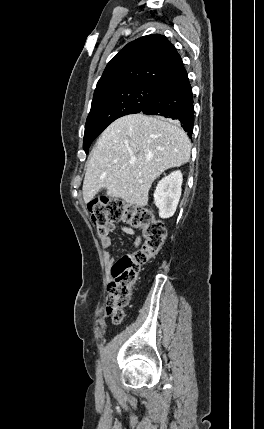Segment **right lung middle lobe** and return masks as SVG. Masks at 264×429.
I'll list each match as a JSON object with an SVG mask.
<instances>
[{"label":"right lung middle lobe","mask_w":264,"mask_h":429,"mask_svg":"<svg viewBox=\"0 0 264 429\" xmlns=\"http://www.w3.org/2000/svg\"><path fill=\"white\" fill-rule=\"evenodd\" d=\"M156 85L137 84L94 98L87 117L83 149L88 148L104 129L119 117L139 113L157 90Z\"/></svg>","instance_id":"dd1d6c3e"}]
</instances>
